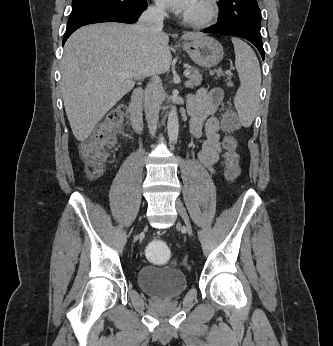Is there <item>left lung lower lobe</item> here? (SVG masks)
<instances>
[{
  "label": "left lung lower lobe",
  "mask_w": 333,
  "mask_h": 346,
  "mask_svg": "<svg viewBox=\"0 0 333 346\" xmlns=\"http://www.w3.org/2000/svg\"><path fill=\"white\" fill-rule=\"evenodd\" d=\"M203 32L212 33V34L232 35V36L244 38L256 46V48L258 49V51L260 52L264 60V49H263L261 34L249 29L248 27H245L240 24H234V23H228V24L220 23L214 28L204 30Z\"/></svg>",
  "instance_id": "0a47b994"
}]
</instances>
